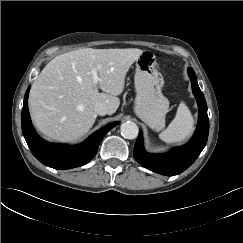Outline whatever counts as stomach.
I'll return each instance as SVG.
<instances>
[{
  "mask_svg": "<svg viewBox=\"0 0 243 243\" xmlns=\"http://www.w3.org/2000/svg\"><path fill=\"white\" fill-rule=\"evenodd\" d=\"M135 62L137 95L134 112L151 129L159 131L165 125V115L169 109V101L162 94L163 76L156 69V57L151 51H143Z\"/></svg>",
  "mask_w": 243,
  "mask_h": 243,
  "instance_id": "obj_1",
  "label": "stomach"
}]
</instances>
